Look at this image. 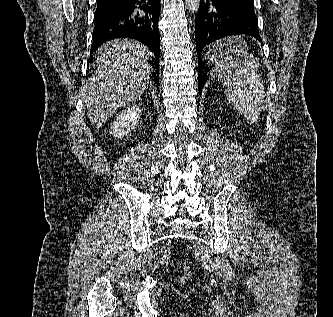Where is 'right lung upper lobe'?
Listing matches in <instances>:
<instances>
[{
	"mask_svg": "<svg viewBox=\"0 0 333 317\" xmlns=\"http://www.w3.org/2000/svg\"><path fill=\"white\" fill-rule=\"evenodd\" d=\"M101 1H110V0H97V2H101Z\"/></svg>",
	"mask_w": 333,
	"mask_h": 317,
	"instance_id": "obj_1",
	"label": "right lung upper lobe"
}]
</instances>
